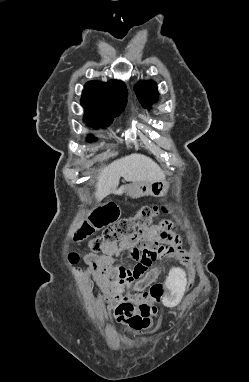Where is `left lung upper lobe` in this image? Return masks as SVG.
Listing matches in <instances>:
<instances>
[{
	"label": "left lung upper lobe",
	"mask_w": 249,
	"mask_h": 382,
	"mask_svg": "<svg viewBox=\"0 0 249 382\" xmlns=\"http://www.w3.org/2000/svg\"><path fill=\"white\" fill-rule=\"evenodd\" d=\"M134 91L137 94L139 101L144 107H149L157 98L156 85L153 82H139L135 87Z\"/></svg>",
	"instance_id": "left-lung-upper-lobe-1"
}]
</instances>
